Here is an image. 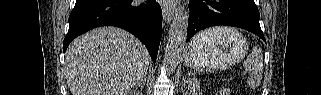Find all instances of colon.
<instances>
[{
  "label": "colon",
  "mask_w": 321,
  "mask_h": 95,
  "mask_svg": "<svg viewBox=\"0 0 321 95\" xmlns=\"http://www.w3.org/2000/svg\"><path fill=\"white\" fill-rule=\"evenodd\" d=\"M221 95H235V93L229 88H224L221 91Z\"/></svg>",
  "instance_id": "colon-1"
}]
</instances>
